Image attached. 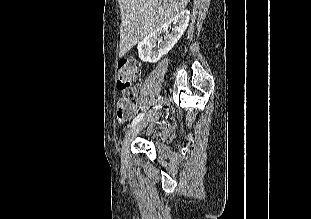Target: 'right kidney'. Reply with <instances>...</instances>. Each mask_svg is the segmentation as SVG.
Segmentation results:
<instances>
[{"label":"right kidney","instance_id":"ca27d5eb","mask_svg":"<svg viewBox=\"0 0 311 219\" xmlns=\"http://www.w3.org/2000/svg\"><path fill=\"white\" fill-rule=\"evenodd\" d=\"M189 18L190 12L188 10H183L165 25L147 35L141 42L138 43L137 48L139 58L143 62L149 63H156L160 60V58L167 54L181 38L188 26ZM171 24L174 25L172 33L170 35H166L164 37V42L160 45L159 49L155 50L154 47L161 32H165Z\"/></svg>","mask_w":311,"mask_h":219}]
</instances>
